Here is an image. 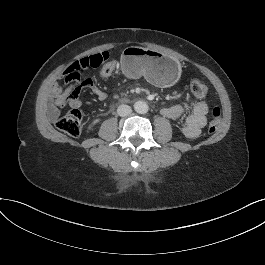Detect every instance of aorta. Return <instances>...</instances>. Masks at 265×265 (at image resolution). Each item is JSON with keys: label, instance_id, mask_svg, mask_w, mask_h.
I'll return each mask as SVG.
<instances>
[{"label": "aorta", "instance_id": "1", "mask_svg": "<svg viewBox=\"0 0 265 265\" xmlns=\"http://www.w3.org/2000/svg\"><path fill=\"white\" fill-rule=\"evenodd\" d=\"M134 109L137 113L139 114H145L148 112V105L146 102H143V101H137L135 104H134Z\"/></svg>", "mask_w": 265, "mask_h": 265}]
</instances>
